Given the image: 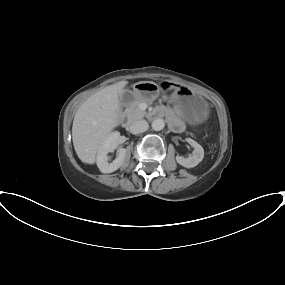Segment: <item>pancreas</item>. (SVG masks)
Masks as SVG:
<instances>
[{"mask_svg": "<svg viewBox=\"0 0 285 285\" xmlns=\"http://www.w3.org/2000/svg\"><path fill=\"white\" fill-rule=\"evenodd\" d=\"M145 101L142 99H136L126 109V115L129 121H136L146 116V112L140 109V105Z\"/></svg>", "mask_w": 285, "mask_h": 285, "instance_id": "1", "label": "pancreas"}]
</instances>
